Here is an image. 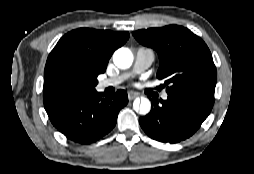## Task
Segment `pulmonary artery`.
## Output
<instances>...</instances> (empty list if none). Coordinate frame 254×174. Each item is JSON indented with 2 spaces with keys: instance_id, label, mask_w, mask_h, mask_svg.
I'll return each mask as SVG.
<instances>
[{
  "instance_id": "pulmonary-artery-1",
  "label": "pulmonary artery",
  "mask_w": 254,
  "mask_h": 174,
  "mask_svg": "<svg viewBox=\"0 0 254 174\" xmlns=\"http://www.w3.org/2000/svg\"><path fill=\"white\" fill-rule=\"evenodd\" d=\"M154 59L155 54L152 49L144 47L139 48L135 56L133 73H139L146 70L153 63ZM130 76V73H123L112 77L104 78L99 82V88L105 89L108 87L117 86L127 80ZM162 98L166 100L168 98V95L164 93L162 95Z\"/></svg>"
}]
</instances>
